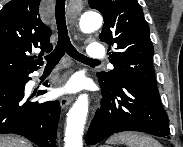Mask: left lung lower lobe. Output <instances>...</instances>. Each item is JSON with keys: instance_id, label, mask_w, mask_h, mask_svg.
Listing matches in <instances>:
<instances>
[{"instance_id": "1", "label": "left lung lower lobe", "mask_w": 183, "mask_h": 147, "mask_svg": "<svg viewBox=\"0 0 183 147\" xmlns=\"http://www.w3.org/2000/svg\"><path fill=\"white\" fill-rule=\"evenodd\" d=\"M100 86L101 108L90 124L87 144H96L123 131L145 132L158 137L170 135L168 116L156 84L124 78L113 87L101 83Z\"/></svg>"}]
</instances>
